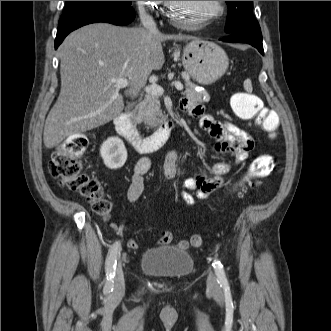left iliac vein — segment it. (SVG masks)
Returning <instances> with one entry per match:
<instances>
[{"label":"left iliac vein","instance_id":"1","mask_svg":"<svg viewBox=\"0 0 331 331\" xmlns=\"http://www.w3.org/2000/svg\"><path fill=\"white\" fill-rule=\"evenodd\" d=\"M207 287L211 291H216L218 289V284L216 282V279L212 273L209 274L207 279Z\"/></svg>","mask_w":331,"mask_h":331}]
</instances>
